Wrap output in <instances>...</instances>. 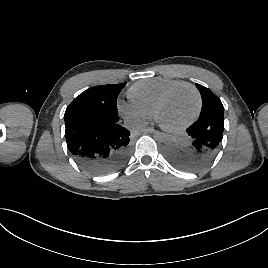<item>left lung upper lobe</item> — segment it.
Listing matches in <instances>:
<instances>
[{
	"instance_id": "5c2ea615",
	"label": "left lung upper lobe",
	"mask_w": 268,
	"mask_h": 268,
	"mask_svg": "<svg viewBox=\"0 0 268 268\" xmlns=\"http://www.w3.org/2000/svg\"><path fill=\"white\" fill-rule=\"evenodd\" d=\"M196 87L200 91L202 97V109L198 120L211 119L215 117L224 118V107L220 99L208 88L200 84H196Z\"/></svg>"
}]
</instances>
